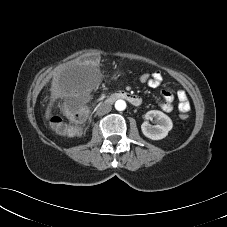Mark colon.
Wrapping results in <instances>:
<instances>
[{
    "label": "colon",
    "instance_id": "5ec220e1",
    "mask_svg": "<svg viewBox=\"0 0 227 227\" xmlns=\"http://www.w3.org/2000/svg\"><path fill=\"white\" fill-rule=\"evenodd\" d=\"M151 79H152V74L150 73H141L138 76V81L142 84L148 85ZM68 115L71 120V123L64 121L59 116H53L50 120V123L52 128L57 133L65 136H73L80 131L81 126L86 119L87 110L86 108L81 106L70 107L68 111ZM180 117L182 119H187L188 118L187 112H181Z\"/></svg>",
    "mask_w": 227,
    "mask_h": 227
}]
</instances>
